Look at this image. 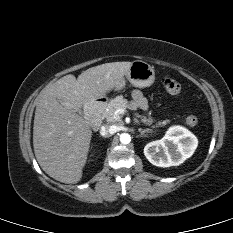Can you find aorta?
<instances>
[{
    "label": "aorta",
    "instance_id": "aorta-1",
    "mask_svg": "<svg viewBox=\"0 0 233 233\" xmlns=\"http://www.w3.org/2000/svg\"><path fill=\"white\" fill-rule=\"evenodd\" d=\"M120 142L122 144H129L131 142V136L128 133H123L120 135Z\"/></svg>",
    "mask_w": 233,
    "mask_h": 233
}]
</instances>
